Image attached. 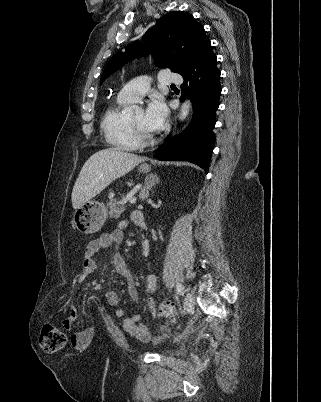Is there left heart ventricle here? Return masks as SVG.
Here are the masks:
<instances>
[{"label":"left heart ventricle","mask_w":321,"mask_h":402,"mask_svg":"<svg viewBox=\"0 0 321 402\" xmlns=\"http://www.w3.org/2000/svg\"><path fill=\"white\" fill-rule=\"evenodd\" d=\"M133 125L140 130L141 132H143L146 135H152V132L148 131L145 127L144 124V113L143 112H137L134 113L133 115L130 116L129 118Z\"/></svg>","instance_id":"obj_1"}]
</instances>
